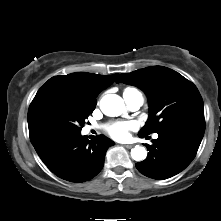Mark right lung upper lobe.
<instances>
[{
    "label": "right lung upper lobe",
    "instance_id": "1",
    "mask_svg": "<svg viewBox=\"0 0 221 221\" xmlns=\"http://www.w3.org/2000/svg\"><path fill=\"white\" fill-rule=\"evenodd\" d=\"M117 75L107 76L78 72L64 76H55L39 89L36 96L46 92H61L78 99L86 105L96 106L98 94L110 86L115 81Z\"/></svg>",
    "mask_w": 221,
    "mask_h": 221
}]
</instances>
